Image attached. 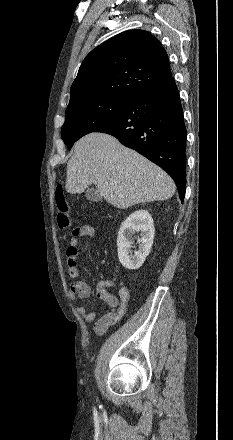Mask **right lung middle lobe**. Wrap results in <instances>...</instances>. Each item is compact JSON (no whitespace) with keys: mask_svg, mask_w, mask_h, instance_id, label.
<instances>
[{"mask_svg":"<svg viewBox=\"0 0 233 440\" xmlns=\"http://www.w3.org/2000/svg\"><path fill=\"white\" fill-rule=\"evenodd\" d=\"M129 99L94 97L69 104L62 126V139L70 150L82 136L115 119Z\"/></svg>","mask_w":233,"mask_h":440,"instance_id":"1","label":"right lung middle lobe"}]
</instances>
